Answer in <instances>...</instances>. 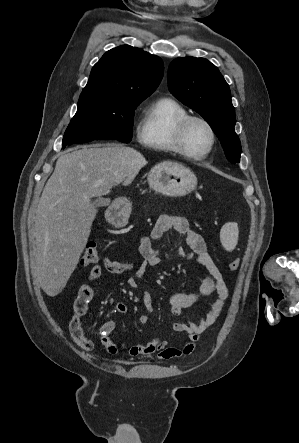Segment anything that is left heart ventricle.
Segmentation results:
<instances>
[{
    "mask_svg": "<svg viewBox=\"0 0 299 443\" xmlns=\"http://www.w3.org/2000/svg\"><path fill=\"white\" fill-rule=\"evenodd\" d=\"M210 142L209 130L203 123L193 121L189 124L185 134V145L189 152L201 154L208 149Z\"/></svg>",
    "mask_w": 299,
    "mask_h": 443,
    "instance_id": "left-heart-ventricle-1",
    "label": "left heart ventricle"
}]
</instances>
